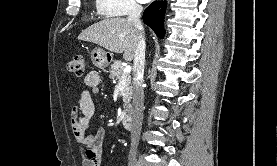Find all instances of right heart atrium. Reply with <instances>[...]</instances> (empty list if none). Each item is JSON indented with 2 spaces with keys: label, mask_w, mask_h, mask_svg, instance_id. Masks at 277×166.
<instances>
[{
  "label": "right heart atrium",
  "mask_w": 277,
  "mask_h": 166,
  "mask_svg": "<svg viewBox=\"0 0 277 166\" xmlns=\"http://www.w3.org/2000/svg\"><path fill=\"white\" fill-rule=\"evenodd\" d=\"M99 10L108 16H122L140 10L138 0H97Z\"/></svg>",
  "instance_id": "obj_1"
}]
</instances>
